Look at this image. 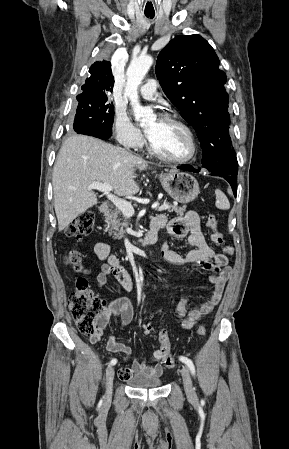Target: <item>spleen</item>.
Masks as SVG:
<instances>
[{
    "label": "spleen",
    "instance_id": "obj_1",
    "mask_svg": "<svg viewBox=\"0 0 289 449\" xmlns=\"http://www.w3.org/2000/svg\"><path fill=\"white\" fill-rule=\"evenodd\" d=\"M216 202L215 205L218 209L227 210L230 208L229 201L226 195L219 189L215 190Z\"/></svg>",
    "mask_w": 289,
    "mask_h": 449
}]
</instances>
